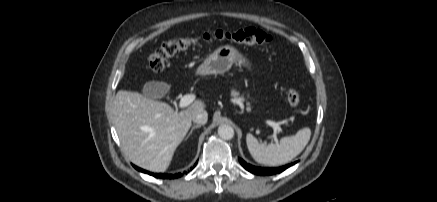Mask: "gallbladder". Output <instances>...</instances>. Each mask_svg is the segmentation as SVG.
<instances>
[{
    "mask_svg": "<svg viewBox=\"0 0 437 202\" xmlns=\"http://www.w3.org/2000/svg\"><path fill=\"white\" fill-rule=\"evenodd\" d=\"M168 89L169 86L164 82L149 81L144 84L142 94L149 99L155 100L163 97Z\"/></svg>",
    "mask_w": 437,
    "mask_h": 202,
    "instance_id": "obj_1",
    "label": "gallbladder"
}]
</instances>
